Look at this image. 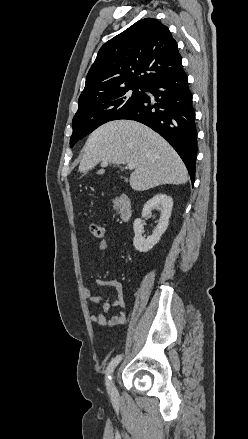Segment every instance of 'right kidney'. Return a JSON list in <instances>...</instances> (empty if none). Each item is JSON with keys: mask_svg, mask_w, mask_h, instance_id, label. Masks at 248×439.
<instances>
[{"mask_svg": "<svg viewBox=\"0 0 248 439\" xmlns=\"http://www.w3.org/2000/svg\"><path fill=\"white\" fill-rule=\"evenodd\" d=\"M172 207L173 199L166 194H157L146 202L142 210V218L150 217L152 211L156 208L160 210L161 215L153 234L146 239L142 236L143 220L138 218L134 221L133 229L135 236L133 239V245L136 250L139 252H148L160 241L161 236L168 227Z\"/></svg>", "mask_w": 248, "mask_h": 439, "instance_id": "right-kidney-1", "label": "right kidney"}]
</instances>
